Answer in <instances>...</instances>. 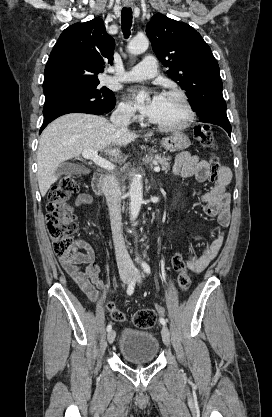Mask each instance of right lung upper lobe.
<instances>
[{
  "instance_id": "1",
  "label": "right lung upper lobe",
  "mask_w": 272,
  "mask_h": 417,
  "mask_svg": "<svg viewBox=\"0 0 272 417\" xmlns=\"http://www.w3.org/2000/svg\"><path fill=\"white\" fill-rule=\"evenodd\" d=\"M114 39L103 20L75 23L60 35L47 61L43 91L69 85L99 83L97 74L112 63Z\"/></svg>"
}]
</instances>
